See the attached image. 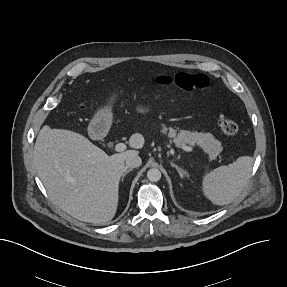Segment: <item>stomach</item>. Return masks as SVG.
Returning <instances> with one entry per match:
<instances>
[{
    "instance_id": "1",
    "label": "stomach",
    "mask_w": 287,
    "mask_h": 287,
    "mask_svg": "<svg viewBox=\"0 0 287 287\" xmlns=\"http://www.w3.org/2000/svg\"><path fill=\"white\" fill-rule=\"evenodd\" d=\"M117 98L118 94H112L107 103L95 112L89 129H96L101 132H107L110 129L113 120L112 106Z\"/></svg>"
}]
</instances>
